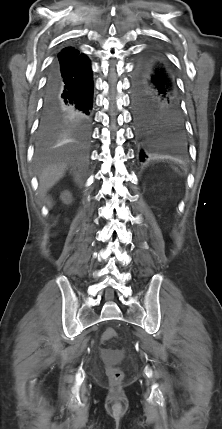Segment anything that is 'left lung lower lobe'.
<instances>
[{
    "label": "left lung lower lobe",
    "mask_w": 222,
    "mask_h": 429,
    "mask_svg": "<svg viewBox=\"0 0 222 429\" xmlns=\"http://www.w3.org/2000/svg\"><path fill=\"white\" fill-rule=\"evenodd\" d=\"M132 105L141 161L184 150L180 96L173 71L161 54L147 51L136 61Z\"/></svg>",
    "instance_id": "obj_1"
}]
</instances>
